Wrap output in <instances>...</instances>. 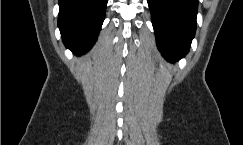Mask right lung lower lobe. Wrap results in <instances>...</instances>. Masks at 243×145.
Here are the masks:
<instances>
[{"mask_svg":"<svg viewBox=\"0 0 243 145\" xmlns=\"http://www.w3.org/2000/svg\"><path fill=\"white\" fill-rule=\"evenodd\" d=\"M108 0H59L58 27L63 43L74 54L86 53L95 43Z\"/></svg>","mask_w":243,"mask_h":145,"instance_id":"obj_1","label":"right lung lower lobe"}]
</instances>
